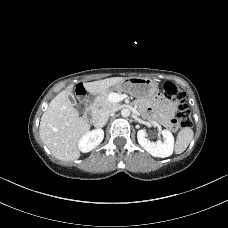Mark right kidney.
<instances>
[{
  "mask_svg": "<svg viewBox=\"0 0 228 228\" xmlns=\"http://www.w3.org/2000/svg\"><path fill=\"white\" fill-rule=\"evenodd\" d=\"M103 138L104 131L102 129L89 131L80 138L78 148L83 153L90 152L102 142Z\"/></svg>",
  "mask_w": 228,
  "mask_h": 228,
  "instance_id": "1",
  "label": "right kidney"
}]
</instances>
